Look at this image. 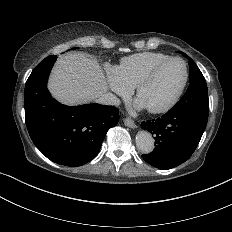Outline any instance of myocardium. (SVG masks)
<instances>
[{"label":"myocardium","mask_w":232,"mask_h":232,"mask_svg":"<svg viewBox=\"0 0 232 232\" xmlns=\"http://www.w3.org/2000/svg\"><path fill=\"white\" fill-rule=\"evenodd\" d=\"M172 61H177L180 62L184 66V71H185V76L182 85L178 89V91L174 94V96L163 106L159 108H154V109H147V111L151 114H163L168 112L170 109H172L177 102L179 101L180 97L182 96L187 83L189 81V67L188 64L185 60H183L180 57H169L156 65H154L152 68H150L146 73H144L135 83L133 87V94L136 97L139 90L141 87L149 81L162 67H164L166 64L172 62Z\"/></svg>","instance_id":"1"}]
</instances>
